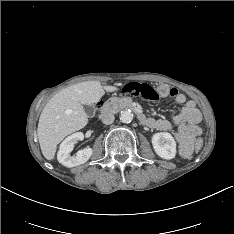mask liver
<instances>
[{
    "label": "liver",
    "mask_w": 234,
    "mask_h": 234,
    "mask_svg": "<svg viewBox=\"0 0 234 234\" xmlns=\"http://www.w3.org/2000/svg\"><path fill=\"white\" fill-rule=\"evenodd\" d=\"M114 86H102L98 81L72 85L54 95L45 105L38 123L37 134L43 156L52 160L57 145L69 134L85 127L88 115L83 105L99 101Z\"/></svg>",
    "instance_id": "liver-1"
}]
</instances>
